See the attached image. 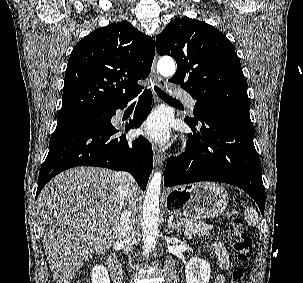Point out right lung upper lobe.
I'll list each match as a JSON object with an SVG mask.
<instances>
[{
	"label": "right lung upper lobe",
	"mask_w": 303,
	"mask_h": 283,
	"mask_svg": "<svg viewBox=\"0 0 303 283\" xmlns=\"http://www.w3.org/2000/svg\"><path fill=\"white\" fill-rule=\"evenodd\" d=\"M154 58V41L127 21L96 29L73 48L58 117L108 111L127 104L143 88Z\"/></svg>",
	"instance_id": "1"
}]
</instances>
